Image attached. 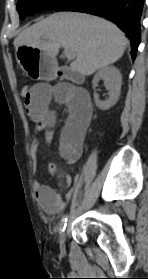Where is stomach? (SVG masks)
Wrapping results in <instances>:
<instances>
[{
	"instance_id": "stomach-1",
	"label": "stomach",
	"mask_w": 148,
	"mask_h": 279,
	"mask_svg": "<svg viewBox=\"0 0 148 279\" xmlns=\"http://www.w3.org/2000/svg\"><path fill=\"white\" fill-rule=\"evenodd\" d=\"M26 47L29 50H20ZM15 50V59H18L21 75L29 78V82H58L57 62L42 50L21 46Z\"/></svg>"
}]
</instances>
